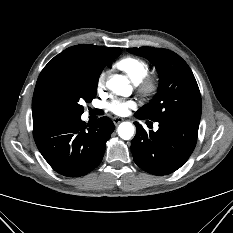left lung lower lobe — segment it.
<instances>
[{"instance_id":"left-lung-lower-lobe-1","label":"left lung lower lobe","mask_w":233,"mask_h":233,"mask_svg":"<svg viewBox=\"0 0 233 233\" xmlns=\"http://www.w3.org/2000/svg\"><path fill=\"white\" fill-rule=\"evenodd\" d=\"M135 116L144 119L137 113ZM157 122V132H146L134 123L137 132L131 142V151L140 168L154 175H167L179 169L192 154L200 120L168 118Z\"/></svg>"}]
</instances>
